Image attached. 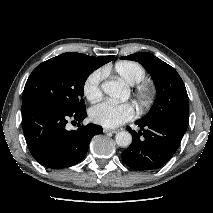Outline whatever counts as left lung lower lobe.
I'll use <instances>...</instances> for the list:
<instances>
[{
    "instance_id": "0a47b994",
    "label": "left lung lower lobe",
    "mask_w": 213,
    "mask_h": 213,
    "mask_svg": "<svg viewBox=\"0 0 213 213\" xmlns=\"http://www.w3.org/2000/svg\"><path fill=\"white\" fill-rule=\"evenodd\" d=\"M138 133L130 127L132 144L122 152L126 165L139 171L158 169L175 154L187 126L170 120L143 123Z\"/></svg>"
}]
</instances>
